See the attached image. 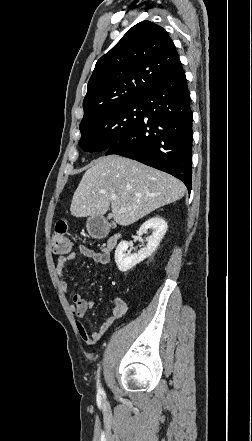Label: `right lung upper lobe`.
<instances>
[{
    "label": "right lung upper lobe",
    "instance_id": "1",
    "mask_svg": "<svg viewBox=\"0 0 252 441\" xmlns=\"http://www.w3.org/2000/svg\"><path fill=\"white\" fill-rule=\"evenodd\" d=\"M180 63L161 26L142 21L96 63L83 101L82 121L114 107L140 100Z\"/></svg>",
    "mask_w": 252,
    "mask_h": 441
}]
</instances>
